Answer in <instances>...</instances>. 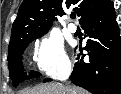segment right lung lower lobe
Segmentation results:
<instances>
[{"label": "right lung lower lobe", "mask_w": 121, "mask_h": 94, "mask_svg": "<svg viewBox=\"0 0 121 94\" xmlns=\"http://www.w3.org/2000/svg\"><path fill=\"white\" fill-rule=\"evenodd\" d=\"M80 24L85 36L89 37L85 47L89 60L84 61L83 55L75 63L70 80L94 94H120L121 40L113 1ZM50 81L46 79L44 82Z\"/></svg>", "instance_id": "1"}]
</instances>
